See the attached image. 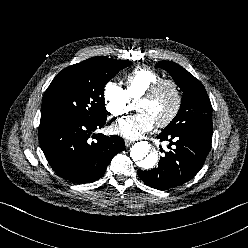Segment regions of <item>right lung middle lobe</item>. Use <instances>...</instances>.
Listing matches in <instances>:
<instances>
[{
  "label": "right lung middle lobe",
  "mask_w": 248,
  "mask_h": 248,
  "mask_svg": "<svg viewBox=\"0 0 248 248\" xmlns=\"http://www.w3.org/2000/svg\"><path fill=\"white\" fill-rule=\"evenodd\" d=\"M130 64L128 60L92 57L63 69L45 92L41 117L106 120L104 86Z\"/></svg>",
  "instance_id": "dd1d6c3e"
}]
</instances>
